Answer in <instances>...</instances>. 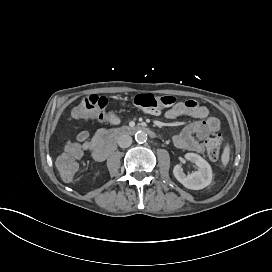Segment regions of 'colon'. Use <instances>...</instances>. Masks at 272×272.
Instances as JSON below:
<instances>
[{"instance_id": "1", "label": "colon", "mask_w": 272, "mask_h": 272, "mask_svg": "<svg viewBox=\"0 0 272 272\" xmlns=\"http://www.w3.org/2000/svg\"><path fill=\"white\" fill-rule=\"evenodd\" d=\"M175 102V98L170 95L154 96L150 94H139L134 97L133 104L135 107L143 109L147 112H155L158 110L170 108ZM110 100L98 95H88L83 98L79 107L75 108L71 118L67 120V132L74 134L76 126L79 124L81 116H93L95 121L101 122L107 119L110 122H119V117L115 114H108L110 112ZM94 109V110H93ZM93 111V113H92ZM108 114V115H107ZM208 126L213 127L214 120L208 121ZM209 157L217 160L220 158V149L228 145L229 139L225 133L218 131H210L208 138ZM64 158L58 159V167L62 172V178L65 181L72 183L78 182L81 177V167L72 162L79 159L80 153L77 148L70 147L65 150Z\"/></svg>"}]
</instances>
